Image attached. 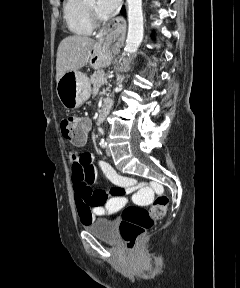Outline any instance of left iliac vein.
Segmentation results:
<instances>
[{
	"instance_id": "1",
	"label": "left iliac vein",
	"mask_w": 240,
	"mask_h": 288,
	"mask_svg": "<svg viewBox=\"0 0 240 288\" xmlns=\"http://www.w3.org/2000/svg\"><path fill=\"white\" fill-rule=\"evenodd\" d=\"M106 154H107V156H109V157H110L111 154H112L110 148H108V147L106 148Z\"/></svg>"
}]
</instances>
